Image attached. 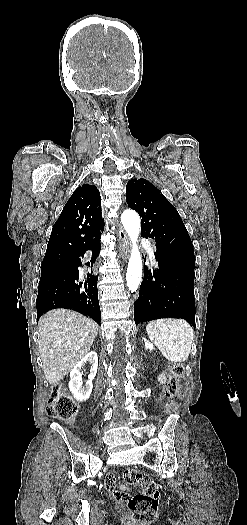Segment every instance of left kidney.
<instances>
[{"label": "left kidney", "instance_id": "5707ae66", "mask_svg": "<svg viewBox=\"0 0 247 525\" xmlns=\"http://www.w3.org/2000/svg\"><path fill=\"white\" fill-rule=\"evenodd\" d=\"M145 341V349H149V351H154V345H152V343H149V341H146V339H144Z\"/></svg>", "mask_w": 247, "mask_h": 525}]
</instances>
